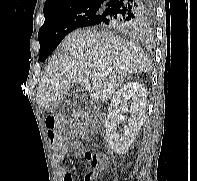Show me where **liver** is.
<instances>
[{
  "label": "liver",
  "mask_w": 197,
  "mask_h": 181,
  "mask_svg": "<svg viewBox=\"0 0 197 181\" xmlns=\"http://www.w3.org/2000/svg\"><path fill=\"white\" fill-rule=\"evenodd\" d=\"M64 56L48 62L37 93L41 108L56 105L72 85L79 83L95 100L111 97L124 79L151 66L144 52L131 41L97 30H78L61 43ZM85 71L100 75L89 80Z\"/></svg>",
  "instance_id": "liver-1"
}]
</instances>
